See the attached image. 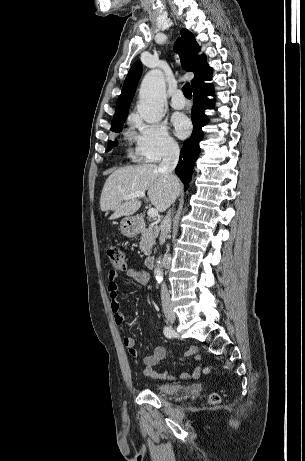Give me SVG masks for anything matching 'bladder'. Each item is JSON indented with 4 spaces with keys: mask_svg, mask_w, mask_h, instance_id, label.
<instances>
[{
    "mask_svg": "<svg viewBox=\"0 0 305 461\" xmlns=\"http://www.w3.org/2000/svg\"><path fill=\"white\" fill-rule=\"evenodd\" d=\"M152 388L160 394H174L182 389V385L169 382H157L152 385Z\"/></svg>",
    "mask_w": 305,
    "mask_h": 461,
    "instance_id": "obj_1",
    "label": "bladder"
}]
</instances>
